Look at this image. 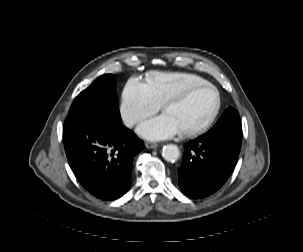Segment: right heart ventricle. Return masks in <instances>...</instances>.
<instances>
[{
  "label": "right heart ventricle",
  "mask_w": 303,
  "mask_h": 252,
  "mask_svg": "<svg viewBox=\"0 0 303 252\" xmlns=\"http://www.w3.org/2000/svg\"><path fill=\"white\" fill-rule=\"evenodd\" d=\"M202 78L192 74L156 73L146 81L150 97L160 106L200 84Z\"/></svg>",
  "instance_id": "1"
}]
</instances>
